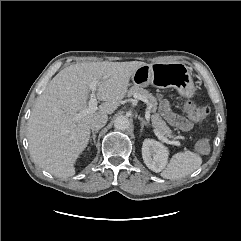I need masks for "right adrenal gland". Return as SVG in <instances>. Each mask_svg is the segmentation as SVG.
<instances>
[{
    "label": "right adrenal gland",
    "instance_id": "right-adrenal-gland-1",
    "mask_svg": "<svg viewBox=\"0 0 241 241\" xmlns=\"http://www.w3.org/2000/svg\"><path fill=\"white\" fill-rule=\"evenodd\" d=\"M98 133V130L97 131H93L92 132V136L90 137L89 141L92 142L93 140V143L95 144L96 143V134Z\"/></svg>",
    "mask_w": 241,
    "mask_h": 241
}]
</instances>
